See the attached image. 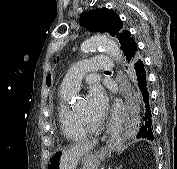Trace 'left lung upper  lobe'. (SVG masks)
<instances>
[{
	"label": "left lung upper lobe",
	"mask_w": 177,
	"mask_h": 169,
	"mask_svg": "<svg viewBox=\"0 0 177 169\" xmlns=\"http://www.w3.org/2000/svg\"><path fill=\"white\" fill-rule=\"evenodd\" d=\"M81 21L83 26H86L90 31L107 32L111 36L116 37L127 58L128 48L130 44L135 41L130 36V33L124 29L123 23L117 13L110 11L107 8H101L92 12L82 13ZM139 58L140 55L138 52L136 58L132 62Z\"/></svg>",
	"instance_id": "1"
}]
</instances>
